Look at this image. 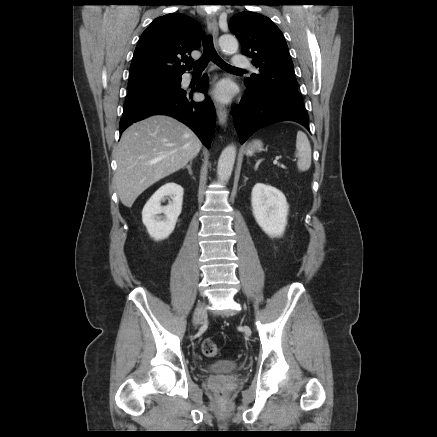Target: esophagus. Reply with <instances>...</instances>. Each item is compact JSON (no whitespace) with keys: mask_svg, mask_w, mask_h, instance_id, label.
<instances>
[{"mask_svg":"<svg viewBox=\"0 0 437 437\" xmlns=\"http://www.w3.org/2000/svg\"><path fill=\"white\" fill-rule=\"evenodd\" d=\"M207 28L209 33L213 36L214 43L217 46V38H218V24L216 17L214 15H208L207 17ZM216 76H214V80ZM216 113L219 119V123L223 126L226 125L228 119V110L227 108L220 104L219 102H215Z\"/></svg>","mask_w":437,"mask_h":437,"instance_id":"esophagus-1","label":"esophagus"}]
</instances>
